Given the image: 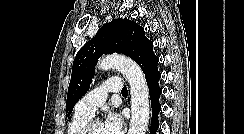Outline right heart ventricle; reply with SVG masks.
Segmentation results:
<instances>
[{
    "label": "right heart ventricle",
    "mask_w": 244,
    "mask_h": 134,
    "mask_svg": "<svg viewBox=\"0 0 244 134\" xmlns=\"http://www.w3.org/2000/svg\"><path fill=\"white\" fill-rule=\"evenodd\" d=\"M90 118V116L75 112L72 119L68 123L66 134H80Z\"/></svg>",
    "instance_id": "obj_1"
}]
</instances>
